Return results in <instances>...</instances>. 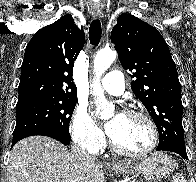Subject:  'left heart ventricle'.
Segmentation results:
<instances>
[{"mask_svg": "<svg viewBox=\"0 0 196 182\" xmlns=\"http://www.w3.org/2000/svg\"><path fill=\"white\" fill-rule=\"evenodd\" d=\"M115 118L116 116L112 120ZM113 139L120 147L126 150L141 151L149 145L151 134L145 121L124 115V122Z\"/></svg>", "mask_w": 196, "mask_h": 182, "instance_id": "b2bd125f", "label": "left heart ventricle"}]
</instances>
